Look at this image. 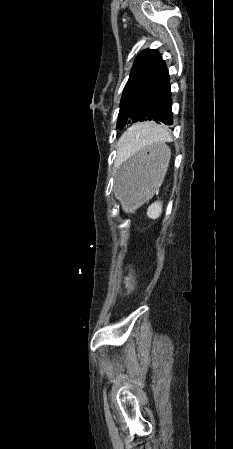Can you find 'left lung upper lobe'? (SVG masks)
Masks as SVG:
<instances>
[{"mask_svg": "<svg viewBox=\"0 0 233 449\" xmlns=\"http://www.w3.org/2000/svg\"><path fill=\"white\" fill-rule=\"evenodd\" d=\"M168 84V69L160 53L150 49L142 51L123 90L117 128L131 121H146L147 110Z\"/></svg>", "mask_w": 233, "mask_h": 449, "instance_id": "5c2ea615", "label": "left lung upper lobe"}]
</instances>
